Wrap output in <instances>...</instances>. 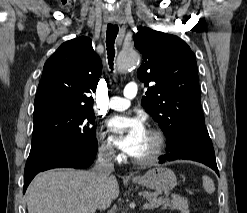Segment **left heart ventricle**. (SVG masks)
<instances>
[{
	"label": "left heart ventricle",
	"instance_id": "left-heart-ventricle-1",
	"mask_svg": "<svg viewBox=\"0 0 247 213\" xmlns=\"http://www.w3.org/2000/svg\"><path fill=\"white\" fill-rule=\"evenodd\" d=\"M155 148V138L147 132L139 151L134 155L137 158L149 156Z\"/></svg>",
	"mask_w": 247,
	"mask_h": 213
}]
</instances>
